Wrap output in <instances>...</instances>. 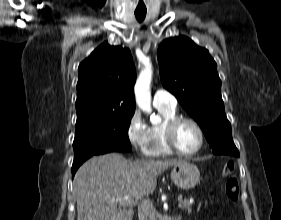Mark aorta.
Here are the masks:
<instances>
[{
  "instance_id": "aorta-1",
  "label": "aorta",
  "mask_w": 281,
  "mask_h": 220,
  "mask_svg": "<svg viewBox=\"0 0 281 220\" xmlns=\"http://www.w3.org/2000/svg\"><path fill=\"white\" fill-rule=\"evenodd\" d=\"M151 81H152V69L145 68L139 74L136 84H135V99L139 108L150 114L152 112L151 108ZM150 120L153 124L159 123L161 118L155 114H151Z\"/></svg>"
}]
</instances>
